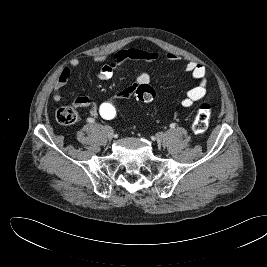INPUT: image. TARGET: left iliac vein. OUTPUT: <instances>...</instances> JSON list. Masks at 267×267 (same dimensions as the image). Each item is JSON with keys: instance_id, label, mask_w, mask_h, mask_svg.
<instances>
[{"instance_id": "obj_1", "label": "left iliac vein", "mask_w": 267, "mask_h": 267, "mask_svg": "<svg viewBox=\"0 0 267 267\" xmlns=\"http://www.w3.org/2000/svg\"><path fill=\"white\" fill-rule=\"evenodd\" d=\"M165 133L164 132H158V133H156V135H155V138H156V140L157 141H162L164 138H165Z\"/></svg>"}]
</instances>
